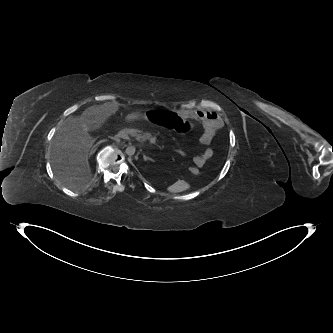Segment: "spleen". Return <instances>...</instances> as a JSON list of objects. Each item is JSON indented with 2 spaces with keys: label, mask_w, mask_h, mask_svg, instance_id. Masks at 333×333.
<instances>
[{
  "label": "spleen",
  "mask_w": 333,
  "mask_h": 333,
  "mask_svg": "<svg viewBox=\"0 0 333 333\" xmlns=\"http://www.w3.org/2000/svg\"><path fill=\"white\" fill-rule=\"evenodd\" d=\"M189 188H190V185L187 182L178 180L177 182H175L174 184L169 186L167 188V190L170 193H180V192L188 190Z\"/></svg>",
  "instance_id": "3e777b00"
}]
</instances>
